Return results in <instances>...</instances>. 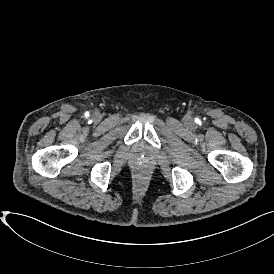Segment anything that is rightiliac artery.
<instances>
[{"instance_id":"obj_1","label":"right iliac artery","mask_w":274,"mask_h":274,"mask_svg":"<svg viewBox=\"0 0 274 274\" xmlns=\"http://www.w3.org/2000/svg\"><path fill=\"white\" fill-rule=\"evenodd\" d=\"M86 116H89V113H86Z\"/></svg>"}]
</instances>
